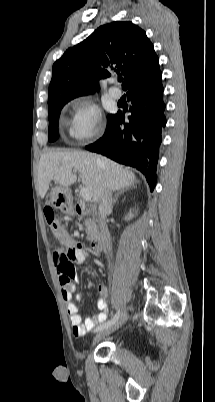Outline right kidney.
Here are the masks:
<instances>
[{
    "mask_svg": "<svg viewBox=\"0 0 215 402\" xmlns=\"http://www.w3.org/2000/svg\"><path fill=\"white\" fill-rule=\"evenodd\" d=\"M134 217V215L130 212L126 217H125V220H130V219H132Z\"/></svg>",
    "mask_w": 215,
    "mask_h": 402,
    "instance_id": "obj_1",
    "label": "right kidney"
}]
</instances>
